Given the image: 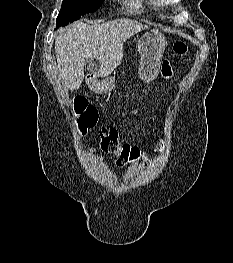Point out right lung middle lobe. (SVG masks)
Instances as JSON below:
<instances>
[{
	"mask_svg": "<svg viewBox=\"0 0 233 263\" xmlns=\"http://www.w3.org/2000/svg\"><path fill=\"white\" fill-rule=\"evenodd\" d=\"M104 0H64L56 19V26H65L82 15L97 10Z\"/></svg>",
	"mask_w": 233,
	"mask_h": 263,
	"instance_id": "obj_1",
	"label": "right lung middle lobe"
}]
</instances>
